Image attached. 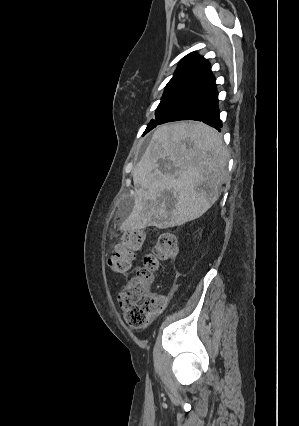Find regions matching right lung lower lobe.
I'll use <instances>...</instances> for the list:
<instances>
[{"mask_svg":"<svg viewBox=\"0 0 299 426\" xmlns=\"http://www.w3.org/2000/svg\"><path fill=\"white\" fill-rule=\"evenodd\" d=\"M178 120L202 121L220 131L222 123L219 118L215 80L195 88L182 97L164 113L156 125Z\"/></svg>","mask_w":299,"mask_h":426,"instance_id":"1","label":"right lung lower lobe"}]
</instances>
